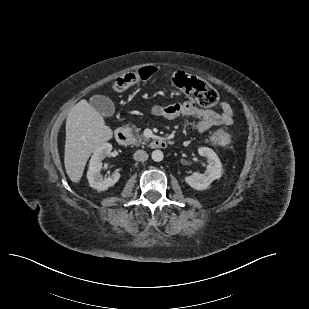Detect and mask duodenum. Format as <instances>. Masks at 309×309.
Returning a JSON list of instances; mask_svg holds the SVG:
<instances>
[{
  "label": "duodenum",
  "instance_id": "obj_1",
  "mask_svg": "<svg viewBox=\"0 0 309 309\" xmlns=\"http://www.w3.org/2000/svg\"><path fill=\"white\" fill-rule=\"evenodd\" d=\"M115 138L117 142L123 146L129 145L130 143V133L125 128H117L115 130ZM167 145V140L161 137L154 138L150 141V147L153 149H164Z\"/></svg>",
  "mask_w": 309,
  "mask_h": 309
}]
</instances>
